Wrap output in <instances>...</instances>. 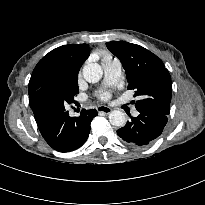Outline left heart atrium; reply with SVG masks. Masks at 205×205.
<instances>
[{"mask_svg": "<svg viewBox=\"0 0 205 205\" xmlns=\"http://www.w3.org/2000/svg\"><path fill=\"white\" fill-rule=\"evenodd\" d=\"M100 98L102 100H108L110 98V94L108 92H104L101 94Z\"/></svg>", "mask_w": 205, "mask_h": 205, "instance_id": "1", "label": "left heart atrium"}]
</instances>
